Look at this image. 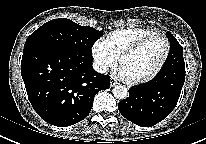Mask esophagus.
Segmentation results:
<instances>
[{
    "label": "esophagus",
    "mask_w": 206,
    "mask_h": 144,
    "mask_svg": "<svg viewBox=\"0 0 206 144\" xmlns=\"http://www.w3.org/2000/svg\"><path fill=\"white\" fill-rule=\"evenodd\" d=\"M118 84V82L115 80V79H111V81H110V86L111 87H114V86H116Z\"/></svg>",
    "instance_id": "obj_1"
}]
</instances>
